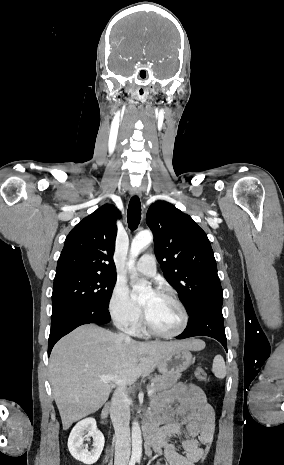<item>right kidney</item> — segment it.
I'll list each match as a JSON object with an SVG mask.
<instances>
[{
	"instance_id": "ca27d5eb",
	"label": "right kidney",
	"mask_w": 284,
	"mask_h": 465,
	"mask_svg": "<svg viewBox=\"0 0 284 465\" xmlns=\"http://www.w3.org/2000/svg\"><path fill=\"white\" fill-rule=\"evenodd\" d=\"M88 437H93V449L88 451L84 449V441H88ZM104 437L101 431H98L95 419H83L73 427L69 439L68 449L77 461L85 463V465H93L98 461L104 447Z\"/></svg>"
}]
</instances>
